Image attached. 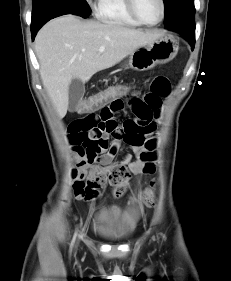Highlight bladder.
Instances as JSON below:
<instances>
[{"mask_svg":"<svg viewBox=\"0 0 231 281\" xmlns=\"http://www.w3.org/2000/svg\"><path fill=\"white\" fill-rule=\"evenodd\" d=\"M92 230L105 240L121 242L131 237L134 225L130 216L121 207L109 205L96 212Z\"/></svg>","mask_w":231,"mask_h":281,"instance_id":"bladder-1","label":"bladder"}]
</instances>
